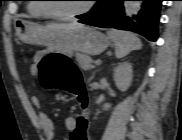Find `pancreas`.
Instances as JSON below:
<instances>
[{"mask_svg": "<svg viewBox=\"0 0 182 140\" xmlns=\"http://www.w3.org/2000/svg\"><path fill=\"white\" fill-rule=\"evenodd\" d=\"M76 60L79 66L85 70L93 68V59L85 54H76Z\"/></svg>", "mask_w": 182, "mask_h": 140, "instance_id": "1", "label": "pancreas"}]
</instances>
